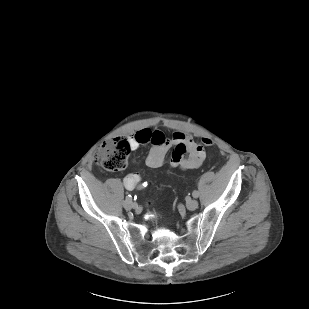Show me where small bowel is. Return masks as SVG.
Wrapping results in <instances>:
<instances>
[{"label": "small bowel", "instance_id": "1", "mask_svg": "<svg viewBox=\"0 0 309 309\" xmlns=\"http://www.w3.org/2000/svg\"><path fill=\"white\" fill-rule=\"evenodd\" d=\"M128 141L133 150L144 144L153 145V149L147 156V164L154 168L163 164L171 149L170 166L175 169H197L205 160L204 146L180 130H175L171 139H168L159 129L142 128L131 135ZM139 179L138 174L130 173L124 178V185L127 189H133Z\"/></svg>", "mask_w": 309, "mask_h": 309}]
</instances>
